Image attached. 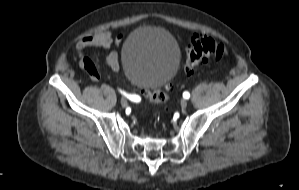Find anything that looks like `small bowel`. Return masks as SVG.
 <instances>
[{"mask_svg":"<svg viewBox=\"0 0 299 190\" xmlns=\"http://www.w3.org/2000/svg\"><path fill=\"white\" fill-rule=\"evenodd\" d=\"M123 38L124 35L119 34L113 39L109 31H100L94 35L82 38L78 43V48H102L107 51L111 48L113 43L116 46L119 45ZM105 62L112 70H120V62L116 52L109 51L105 56ZM91 78L97 80L99 78L98 73L92 74Z\"/></svg>","mask_w":299,"mask_h":190,"instance_id":"c3829d8e","label":"small bowel"}]
</instances>
